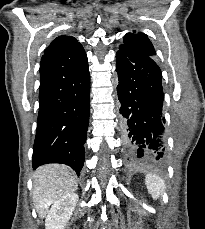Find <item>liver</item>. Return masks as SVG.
Masks as SVG:
<instances>
[{
  "instance_id": "6515ba94",
  "label": "liver",
  "mask_w": 205,
  "mask_h": 229,
  "mask_svg": "<svg viewBox=\"0 0 205 229\" xmlns=\"http://www.w3.org/2000/svg\"><path fill=\"white\" fill-rule=\"evenodd\" d=\"M75 173L63 164H48L33 175L32 198L40 218L48 213L51 204L77 190Z\"/></svg>"
}]
</instances>
